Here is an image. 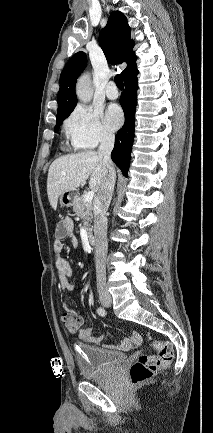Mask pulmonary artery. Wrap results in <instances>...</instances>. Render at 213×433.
I'll return each instance as SVG.
<instances>
[{"label": "pulmonary artery", "mask_w": 213, "mask_h": 433, "mask_svg": "<svg viewBox=\"0 0 213 433\" xmlns=\"http://www.w3.org/2000/svg\"><path fill=\"white\" fill-rule=\"evenodd\" d=\"M105 95L109 99H116L119 95L117 87L114 82H109L105 88Z\"/></svg>", "instance_id": "obj_1"}]
</instances>
